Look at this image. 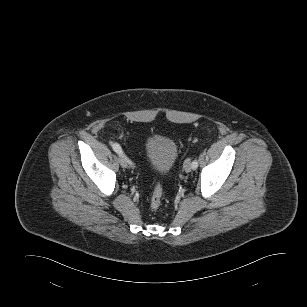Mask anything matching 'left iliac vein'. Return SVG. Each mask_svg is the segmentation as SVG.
I'll return each mask as SVG.
<instances>
[{"mask_svg":"<svg viewBox=\"0 0 307 307\" xmlns=\"http://www.w3.org/2000/svg\"><path fill=\"white\" fill-rule=\"evenodd\" d=\"M183 169L186 173L191 172L192 170V166H191V161L190 159L185 160L184 164H183Z\"/></svg>","mask_w":307,"mask_h":307,"instance_id":"left-iliac-vein-1","label":"left iliac vein"}]
</instances>
